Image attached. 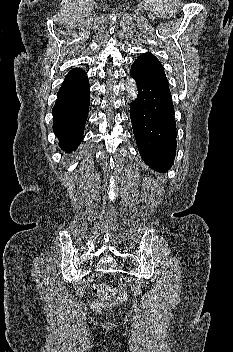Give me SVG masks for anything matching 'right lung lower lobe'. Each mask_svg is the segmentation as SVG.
<instances>
[{
  "instance_id": "1",
  "label": "right lung lower lobe",
  "mask_w": 233,
  "mask_h": 352,
  "mask_svg": "<svg viewBox=\"0 0 233 352\" xmlns=\"http://www.w3.org/2000/svg\"><path fill=\"white\" fill-rule=\"evenodd\" d=\"M84 71L65 78L57 93L52 109L53 131L59 139V146L66 152L76 150L83 138L87 120L90 92Z\"/></svg>"
}]
</instances>
